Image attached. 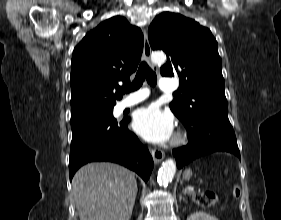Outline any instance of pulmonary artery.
Listing matches in <instances>:
<instances>
[{
	"instance_id": "pulmonary-artery-1",
	"label": "pulmonary artery",
	"mask_w": 281,
	"mask_h": 220,
	"mask_svg": "<svg viewBox=\"0 0 281 220\" xmlns=\"http://www.w3.org/2000/svg\"><path fill=\"white\" fill-rule=\"evenodd\" d=\"M159 87L164 92H170V91H174L178 88V83L171 78L162 77L159 81ZM148 94L149 93H148L147 89L140 90V91L130 95L128 98H126L122 102L121 107L127 108V107L134 106V105L140 103L141 101H143L144 99H146Z\"/></svg>"
}]
</instances>
